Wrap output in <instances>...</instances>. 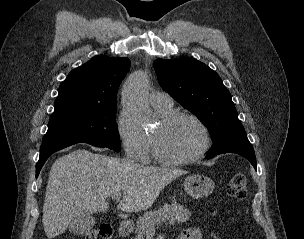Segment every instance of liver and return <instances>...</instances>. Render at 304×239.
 I'll list each match as a JSON object with an SVG mask.
<instances>
[{
	"label": "liver",
	"instance_id": "liver-1",
	"mask_svg": "<svg viewBox=\"0 0 304 239\" xmlns=\"http://www.w3.org/2000/svg\"><path fill=\"white\" fill-rule=\"evenodd\" d=\"M186 171L144 166L78 149L57 159L50 170L43 205L49 239L62 234L77 216L105 212L107 198L123 192L118 209L139 212L152 206L162 189Z\"/></svg>",
	"mask_w": 304,
	"mask_h": 239
}]
</instances>
